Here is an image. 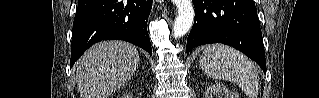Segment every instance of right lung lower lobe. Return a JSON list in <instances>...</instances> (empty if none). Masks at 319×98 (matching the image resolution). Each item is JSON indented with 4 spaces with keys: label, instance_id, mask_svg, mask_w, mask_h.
I'll use <instances>...</instances> for the list:
<instances>
[{
    "label": "right lung lower lobe",
    "instance_id": "98d812e1",
    "mask_svg": "<svg viewBox=\"0 0 319 98\" xmlns=\"http://www.w3.org/2000/svg\"><path fill=\"white\" fill-rule=\"evenodd\" d=\"M152 0H78L70 66L86 49L103 40H124L152 54L147 19Z\"/></svg>",
    "mask_w": 319,
    "mask_h": 98
}]
</instances>
